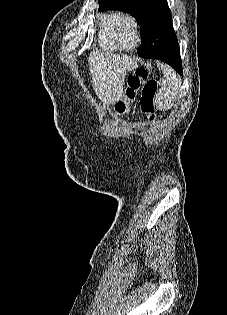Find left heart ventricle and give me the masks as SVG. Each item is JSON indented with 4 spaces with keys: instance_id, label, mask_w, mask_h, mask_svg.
Segmentation results:
<instances>
[{
    "instance_id": "left-heart-ventricle-1",
    "label": "left heart ventricle",
    "mask_w": 227,
    "mask_h": 315,
    "mask_svg": "<svg viewBox=\"0 0 227 315\" xmlns=\"http://www.w3.org/2000/svg\"><path fill=\"white\" fill-rule=\"evenodd\" d=\"M119 34L124 46L131 47L134 45L136 41L135 32L133 26L129 22L122 24Z\"/></svg>"
}]
</instances>
